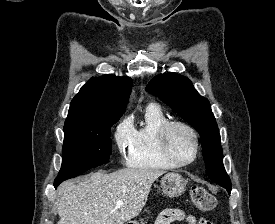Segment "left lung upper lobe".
I'll return each mask as SVG.
<instances>
[{"mask_svg": "<svg viewBox=\"0 0 275 224\" xmlns=\"http://www.w3.org/2000/svg\"><path fill=\"white\" fill-rule=\"evenodd\" d=\"M146 91L158 96L200 134L208 177L221 186L231 184L224 169L220 134L211 105L199 95L191 81L168 72L154 77L148 83Z\"/></svg>", "mask_w": 275, "mask_h": 224, "instance_id": "5c2ea615", "label": "left lung upper lobe"}]
</instances>
